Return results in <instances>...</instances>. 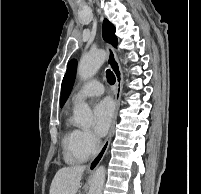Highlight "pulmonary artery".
<instances>
[{"label":"pulmonary artery","mask_w":201,"mask_h":194,"mask_svg":"<svg viewBox=\"0 0 201 194\" xmlns=\"http://www.w3.org/2000/svg\"><path fill=\"white\" fill-rule=\"evenodd\" d=\"M104 93V86L98 80H90L85 83L72 97L74 103L79 102L83 99L99 96Z\"/></svg>","instance_id":"obj_1"}]
</instances>
